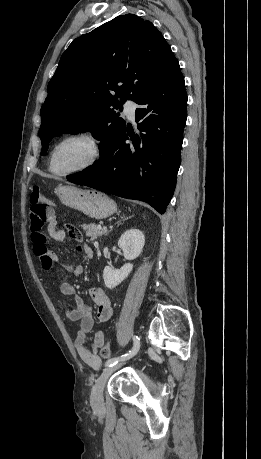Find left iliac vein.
<instances>
[{"label":"left iliac vein","instance_id":"4c4485c4","mask_svg":"<svg viewBox=\"0 0 261 459\" xmlns=\"http://www.w3.org/2000/svg\"><path fill=\"white\" fill-rule=\"evenodd\" d=\"M123 362L108 367L97 379L91 393V405L95 410H100L104 406L103 390L110 376L120 368Z\"/></svg>","mask_w":261,"mask_h":459}]
</instances>
